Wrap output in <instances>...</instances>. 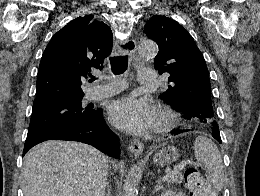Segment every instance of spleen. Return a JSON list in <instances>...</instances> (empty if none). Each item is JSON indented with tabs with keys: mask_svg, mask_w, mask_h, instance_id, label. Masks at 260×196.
Segmentation results:
<instances>
[{
	"mask_svg": "<svg viewBox=\"0 0 260 196\" xmlns=\"http://www.w3.org/2000/svg\"><path fill=\"white\" fill-rule=\"evenodd\" d=\"M193 150L197 162L204 164L206 168L205 176L207 182L211 184L213 190H222L225 182L224 170L221 154L214 142L206 136L195 138Z\"/></svg>",
	"mask_w": 260,
	"mask_h": 196,
	"instance_id": "1",
	"label": "spleen"
}]
</instances>
